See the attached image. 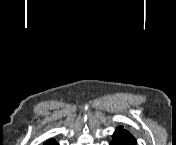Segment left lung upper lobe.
I'll return each instance as SVG.
<instances>
[{
	"label": "left lung upper lobe",
	"instance_id": "1",
	"mask_svg": "<svg viewBox=\"0 0 176 145\" xmlns=\"http://www.w3.org/2000/svg\"><path fill=\"white\" fill-rule=\"evenodd\" d=\"M115 132L122 134L131 143H136V139L127 130L123 129L122 126L117 127Z\"/></svg>",
	"mask_w": 176,
	"mask_h": 145
}]
</instances>
